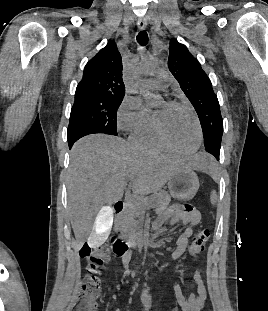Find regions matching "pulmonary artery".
<instances>
[{
  "instance_id": "1",
  "label": "pulmonary artery",
  "mask_w": 268,
  "mask_h": 311,
  "mask_svg": "<svg viewBox=\"0 0 268 311\" xmlns=\"http://www.w3.org/2000/svg\"><path fill=\"white\" fill-rule=\"evenodd\" d=\"M170 77L166 72L156 71L153 78L149 79V84L155 89H165L169 85Z\"/></svg>"
}]
</instances>
